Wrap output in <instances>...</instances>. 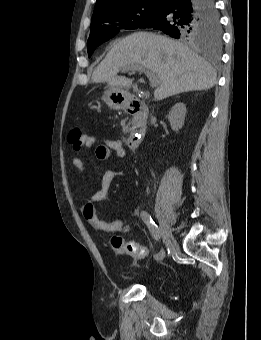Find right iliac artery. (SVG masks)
Segmentation results:
<instances>
[{
	"instance_id": "82829eb1",
	"label": "right iliac artery",
	"mask_w": 261,
	"mask_h": 340,
	"mask_svg": "<svg viewBox=\"0 0 261 340\" xmlns=\"http://www.w3.org/2000/svg\"><path fill=\"white\" fill-rule=\"evenodd\" d=\"M141 219L143 222L147 225L152 237L156 241H160L161 232L158 228L157 224L153 221L151 215L147 211H141ZM165 257V251L163 248H161L158 253L154 256L155 262H161L163 258Z\"/></svg>"
}]
</instances>
